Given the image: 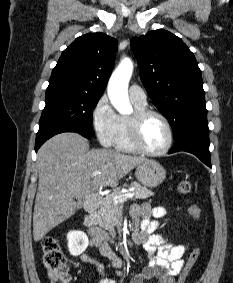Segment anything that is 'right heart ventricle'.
I'll use <instances>...</instances> for the list:
<instances>
[{"label":"right heart ventricle","instance_id":"obj_1","mask_svg":"<svg viewBox=\"0 0 233 283\" xmlns=\"http://www.w3.org/2000/svg\"><path fill=\"white\" fill-rule=\"evenodd\" d=\"M134 105L136 110L146 109V105H138L135 103ZM128 118L129 117L119 116L118 131L114 145L119 151L134 153L137 152V150L134 148L130 141L128 130Z\"/></svg>","mask_w":233,"mask_h":283}]
</instances>
